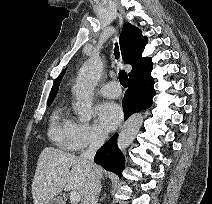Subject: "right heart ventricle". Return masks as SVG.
<instances>
[{
  "mask_svg": "<svg viewBox=\"0 0 212 204\" xmlns=\"http://www.w3.org/2000/svg\"><path fill=\"white\" fill-rule=\"evenodd\" d=\"M77 123L65 105L57 106L50 117L48 135L58 147L72 150V139Z\"/></svg>",
  "mask_w": 212,
  "mask_h": 204,
  "instance_id": "right-heart-ventricle-1",
  "label": "right heart ventricle"
}]
</instances>
